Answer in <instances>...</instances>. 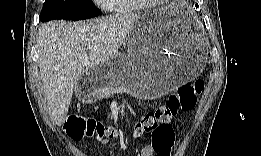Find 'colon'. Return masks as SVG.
<instances>
[{
    "mask_svg": "<svg viewBox=\"0 0 261 156\" xmlns=\"http://www.w3.org/2000/svg\"><path fill=\"white\" fill-rule=\"evenodd\" d=\"M205 87L202 79H196L181 86L176 93L168 96L165 103L156 106L147 112L133 128V135L141 137L143 134H151L152 143L159 156L170 152L174 143V131L170 126L171 121L183 111L191 110L196 98ZM66 132L73 138L95 137L98 141H112L119 137L121 131L106 125L95 119H85L76 115V119L69 120Z\"/></svg>",
    "mask_w": 261,
    "mask_h": 156,
    "instance_id": "obj_1",
    "label": "colon"
}]
</instances>
